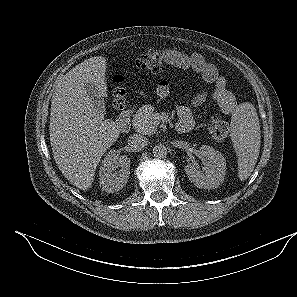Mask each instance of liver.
<instances>
[{
  "mask_svg": "<svg viewBox=\"0 0 297 297\" xmlns=\"http://www.w3.org/2000/svg\"><path fill=\"white\" fill-rule=\"evenodd\" d=\"M106 58L91 57L62 77L51 100L50 144L54 160L74 186L91 187L101 157L118 139L120 130L88 97L85 83L107 96Z\"/></svg>",
  "mask_w": 297,
  "mask_h": 297,
  "instance_id": "obj_1",
  "label": "liver"
}]
</instances>
